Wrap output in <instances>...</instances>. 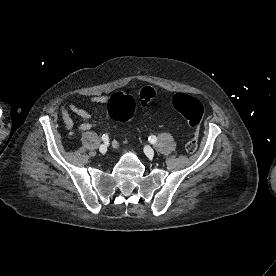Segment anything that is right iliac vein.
I'll return each instance as SVG.
<instances>
[{"label":"right iliac vein","instance_id":"obj_1","mask_svg":"<svg viewBox=\"0 0 276 276\" xmlns=\"http://www.w3.org/2000/svg\"><path fill=\"white\" fill-rule=\"evenodd\" d=\"M99 151H100L102 154H105V153L107 152V146H106L105 144L100 145Z\"/></svg>","mask_w":276,"mask_h":276}]
</instances>
